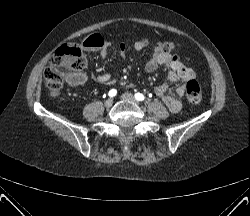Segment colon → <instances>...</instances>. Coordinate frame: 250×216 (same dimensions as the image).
Wrapping results in <instances>:
<instances>
[{"mask_svg":"<svg viewBox=\"0 0 250 216\" xmlns=\"http://www.w3.org/2000/svg\"><path fill=\"white\" fill-rule=\"evenodd\" d=\"M143 45L146 43L141 42ZM157 48L170 52L174 45L171 42H159ZM86 66L81 49L76 45H64L60 47L51 58L44 72V78L50 93L58 95L65 80L82 71ZM186 99L191 104H198L202 99L200 85L194 79L186 83Z\"/></svg>","mask_w":250,"mask_h":216,"instance_id":"1","label":"colon"}]
</instances>
